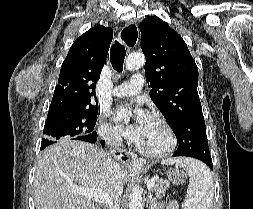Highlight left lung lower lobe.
<instances>
[{
	"mask_svg": "<svg viewBox=\"0 0 253 209\" xmlns=\"http://www.w3.org/2000/svg\"><path fill=\"white\" fill-rule=\"evenodd\" d=\"M173 156H177V155L174 154ZM193 158L203 161L205 164H207L209 166V168L211 170L213 169L211 156H197V157H193Z\"/></svg>",
	"mask_w": 253,
	"mask_h": 209,
	"instance_id": "left-lung-lower-lobe-1",
	"label": "left lung lower lobe"
}]
</instances>
